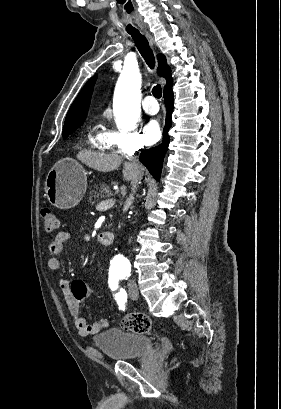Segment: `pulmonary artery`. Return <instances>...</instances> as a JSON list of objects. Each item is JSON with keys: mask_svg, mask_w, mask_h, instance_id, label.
<instances>
[{"mask_svg": "<svg viewBox=\"0 0 281 409\" xmlns=\"http://www.w3.org/2000/svg\"><path fill=\"white\" fill-rule=\"evenodd\" d=\"M155 96L153 94H146L143 99L145 110L150 114H156L158 112V103L154 102Z\"/></svg>", "mask_w": 281, "mask_h": 409, "instance_id": "e3ab8cb5", "label": "pulmonary artery"}]
</instances>
